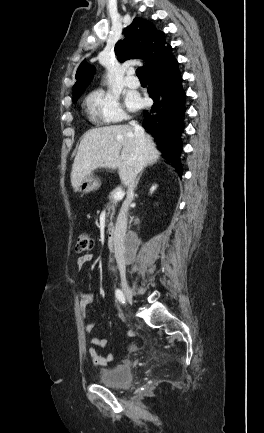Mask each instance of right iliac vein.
<instances>
[{
	"instance_id": "1",
	"label": "right iliac vein",
	"mask_w": 264,
	"mask_h": 433,
	"mask_svg": "<svg viewBox=\"0 0 264 433\" xmlns=\"http://www.w3.org/2000/svg\"><path fill=\"white\" fill-rule=\"evenodd\" d=\"M121 285H122V290L124 292V295H125L128 303L132 304V302H133L132 290L129 287V285H128V283H127V281H126L125 278L121 279Z\"/></svg>"
}]
</instances>
